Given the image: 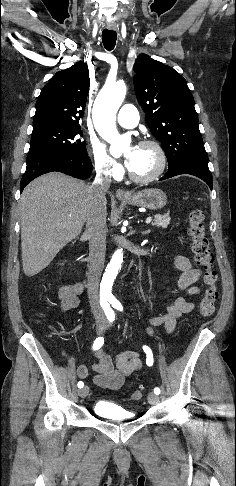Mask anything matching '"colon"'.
Returning <instances> with one entry per match:
<instances>
[{
    "mask_svg": "<svg viewBox=\"0 0 236 486\" xmlns=\"http://www.w3.org/2000/svg\"><path fill=\"white\" fill-rule=\"evenodd\" d=\"M188 236L191 240V249L194 259L204 269V281L207 285L205 294L199 306V313L202 317H210L215 311V303L218 299L216 287L217 272L214 269V255L206 235L204 215L199 209H193L188 215ZM144 395L142 389L131 394L133 400H140Z\"/></svg>",
    "mask_w": 236,
    "mask_h": 486,
    "instance_id": "5ec220e1",
    "label": "colon"
}]
</instances>
